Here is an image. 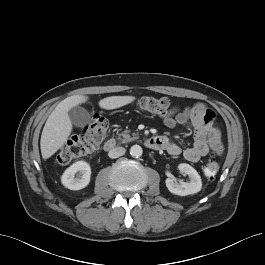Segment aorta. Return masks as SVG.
<instances>
[{"mask_svg":"<svg viewBox=\"0 0 265 265\" xmlns=\"http://www.w3.org/2000/svg\"><path fill=\"white\" fill-rule=\"evenodd\" d=\"M142 153H143V150H142L141 146H139V145H133L130 148V155L132 157L138 158V157H140L142 155Z\"/></svg>","mask_w":265,"mask_h":265,"instance_id":"aorta-1","label":"aorta"}]
</instances>
